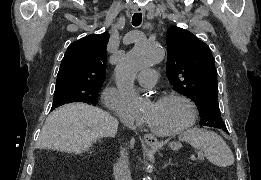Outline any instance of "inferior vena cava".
I'll list each match as a JSON object with an SVG mask.
<instances>
[{"label": "inferior vena cava", "mask_w": 261, "mask_h": 180, "mask_svg": "<svg viewBox=\"0 0 261 180\" xmlns=\"http://www.w3.org/2000/svg\"><path fill=\"white\" fill-rule=\"evenodd\" d=\"M121 158L118 160V164H116L118 170L116 172V176L118 178H126L127 174H130L129 172V164H128V158L125 154V152H120Z\"/></svg>", "instance_id": "1"}]
</instances>
